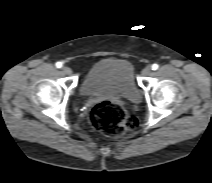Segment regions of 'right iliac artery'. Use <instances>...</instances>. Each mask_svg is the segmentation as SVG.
<instances>
[{
    "label": "right iliac artery",
    "mask_w": 212,
    "mask_h": 183,
    "mask_svg": "<svg viewBox=\"0 0 212 183\" xmlns=\"http://www.w3.org/2000/svg\"><path fill=\"white\" fill-rule=\"evenodd\" d=\"M56 67H57V68H61V67H62V63H61V62H57V63H56Z\"/></svg>",
    "instance_id": "right-iliac-artery-1"
}]
</instances>
